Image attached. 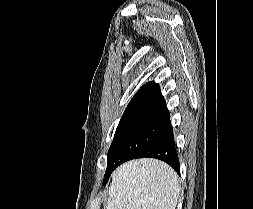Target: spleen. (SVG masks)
<instances>
[{
  "mask_svg": "<svg viewBox=\"0 0 253 209\" xmlns=\"http://www.w3.org/2000/svg\"><path fill=\"white\" fill-rule=\"evenodd\" d=\"M177 174L153 159L132 160L113 174L107 209H176Z\"/></svg>",
  "mask_w": 253,
  "mask_h": 209,
  "instance_id": "spleen-1",
  "label": "spleen"
}]
</instances>
